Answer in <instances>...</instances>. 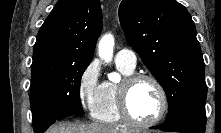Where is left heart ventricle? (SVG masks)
Listing matches in <instances>:
<instances>
[{"mask_svg": "<svg viewBox=\"0 0 221 133\" xmlns=\"http://www.w3.org/2000/svg\"><path fill=\"white\" fill-rule=\"evenodd\" d=\"M129 107L132 115L140 121L156 117L161 107V99L155 85L150 81H140L131 90Z\"/></svg>", "mask_w": 221, "mask_h": 133, "instance_id": "left-heart-ventricle-1", "label": "left heart ventricle"}]
</instances>
